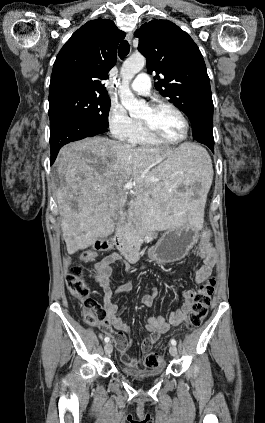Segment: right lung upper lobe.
Masks as SVG:
<instances>
[{
  "label": "right lung upper lobe",
  "mask_w": 265,
  "mask_h": 423,
  "mask_svg": "<svg viewBox=\"0 0 265 423\" xmlns=\"http://www.w3.org/2000/svg\"><path fill=\"white\" fill-rule=\"evenodd\" d=\"M125 33L113 21L98 18L80 27L54 62L49 97L82 92L108 97L103 80L117 61V46Z\"/></svg>",
  "instance_id": "obj_1"
}]
</instances>
